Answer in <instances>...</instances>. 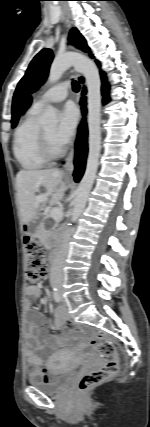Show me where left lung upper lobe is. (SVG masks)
Segmentation results:
<instances>
[{"mask_svg":"<svg viewBox=\"0 0 150 427\" xmlns=\"http://www.w3.org/2000/svg\"><path fill=\"white\" fill-rule=\"evenodd\" d=\"M70 44L89 52L85 39L76 28H72L69 35ZM53 59L51 49H42L31 61L24 77L19 81L13 96L12 127H15L19 118V109L24 96L28 92L36 91L46 80L50 64Z\"/></svg>","mask_w":150,"mask_h":427,"instance_id":"obj_1","label":"left lung upper lobe"}]
</instances>
